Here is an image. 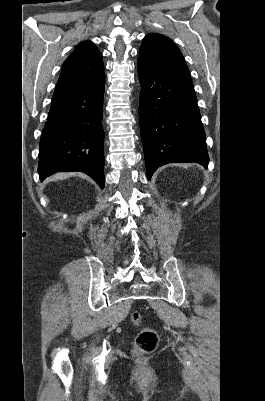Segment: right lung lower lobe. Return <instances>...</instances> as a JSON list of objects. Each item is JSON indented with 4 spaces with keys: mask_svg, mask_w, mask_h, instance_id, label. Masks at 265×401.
Listing matches in <instances>:
<instances>
[{
    "mask_svg": "<svg viewBox=\"0 0 265 401\" xmlns=\"http://www.w3.org/2000/svg\"><path fill=\"white\" fill-rule=\"evenodd\" d=\"M104 83L91 91L52 99L40 138L41 180L55 172L81 171L104 188Z\"/></svg>",
    "mask_w": 265,
    "mask_h": 401,
    "instance_id": "98d812e1",
    "label": "right lung lower lobe"
}]
</instances>
